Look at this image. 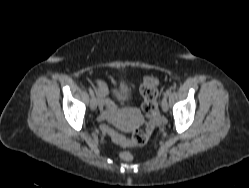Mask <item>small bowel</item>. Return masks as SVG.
<instances>
[{"instance_id": "c3829d8e", "label": "small bowel", "mask_w": 249, "mask_h": 188, "mask_svg": "<svg viewBox=\"0 0 249 188\" xmlns=\"http://www.w3.org/2000/svg\"><path fill=\"white\" fill-rule=\"evenodd\" d=\"M111 82L117 87L119 82L122 80L120 76L110 77ZM96 94L99 98V107L101 114L100 120L114 121L116 115V107L112 101L107 98L108 86L104 80L96 81Z\"/></svg>"}]
</instances>
